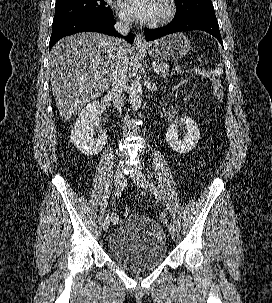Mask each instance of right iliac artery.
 <instances>
[{"label":"right iliac artery","mask_w":272,"mask_h":303,"mask_svg":"<svg viewBox=\"0 0 272 303\" xmlns=\"http://www.w3.org/2000/svg\"><path fill=\"white\" fill-rule=\"evenodd\" d=\"M122 191H123V184H120L118 187H117V190L115 192V196L113 197V200L116 199V198H119L122 194ZM112 210V207L111 206H108L107 207V210H105V213H103V221H108V217L110 215V211Z\"/></svg>","instance_id":"1"}]
</instances>
